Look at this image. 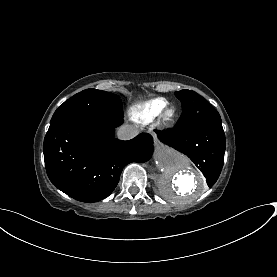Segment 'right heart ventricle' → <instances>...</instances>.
I'll return each mask as SVG.
<instances>
[{
  "label": "right heart ventricle",
  "instance_id": "right-heart-ventricle-1",
  "mask_svg": "<svg viewBox=\"0 0 277 277\" xmlns=\"http://www.w3.org/2000/svg\"><path fill=\"white\" fill-rule=\"evenodd\" d=\"M164 98H156L143 104L130 108L129 118L137 123L148 124L152 122L159 114L162 108L168 105Z\"/></svg>",
  "mask_w": 277,
  "mask_h": 277
}]
</instances>
